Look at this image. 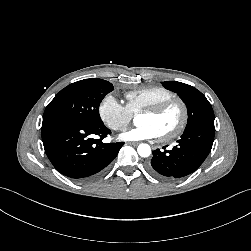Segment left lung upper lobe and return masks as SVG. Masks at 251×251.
Listing matches in <instances>:
<instances>
[{"label": "left lung upper lobe", "instance_id": "5c2ea615", "mask_svg": "<svg viewBox=\"0 0 251 251\" xmlns=\"http://www.w3.org/2000/svg\"><path fill=\"white\" fill-rule=\"evenodd\" d=\"M163 85L176 92L186 103L188 121L185 130L196 126H210L214 128V112L206 97L193 86L177 81H165Z\"/></svg>", "mask_w": 251, "mask_h": 251}]
</instances>
